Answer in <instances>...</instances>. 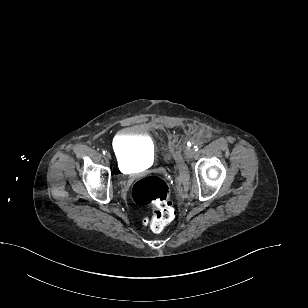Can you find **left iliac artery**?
<instances>
[{"label":"left iliac artery","mask_w":308,"mask_h":308,"mask_svg":"<svg viewBox=\"0 0 308 308\" xmlns=\"http://www.w3.org/2000/svg\"><path fill=\"white\" fill-rule=\"evenodd\" d=\"M198 148H199V147H198L197 145L194 146V150H195V151H198Z\"/></svg>","instance_id":"left-iliac-artery-1"}]
</instances>
